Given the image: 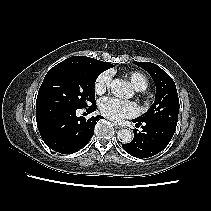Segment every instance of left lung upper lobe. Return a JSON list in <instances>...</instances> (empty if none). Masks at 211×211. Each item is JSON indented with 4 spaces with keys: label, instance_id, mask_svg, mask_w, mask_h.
<instances>
[{
    "label": "left lung upper lobe",
    "instance_id": "obj_1",
    "mask_svg": "<svg viewBox=\"0 0 211 211\" xmlns=\"http://www.w3.org/2000/svg\"><path fill=\"white\" fill-rule=\"evenodd\" d=\"M135 64L151 75L156 86L154 103L146 113L136 118V120L157 122L176 130L179 98L174 81L154 63L137 62Z\"/></svg>",
    "mask_w": 211,
    "mask_h": 211
}]
</instances>
